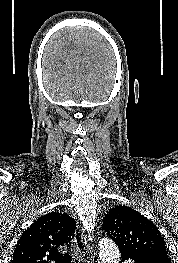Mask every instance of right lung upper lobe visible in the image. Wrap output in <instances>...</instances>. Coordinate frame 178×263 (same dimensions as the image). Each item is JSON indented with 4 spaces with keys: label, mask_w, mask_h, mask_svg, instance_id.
Here are the masks:
<instances>
[{
    "label": "right lung upper lobe",
    "mask_w": 178,
    "mask_h": 263,
    "mask_svg": "<svg viewBox=\"0 0 178 263\" xmlns=\"http://www.w3.org/2000/svg\"><path fill=\"white\" fill-rule=\"evenodd\" d=\"M75 221L67 214L51 212L37 219L20 237L11 263H69L59 248L72 240Z\"/></svg>",
    "instance_id": "right-lung-upper-lobe-1"
}]
</instances>
